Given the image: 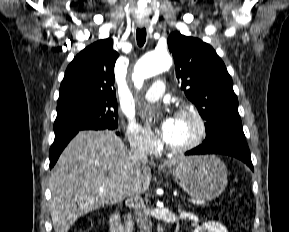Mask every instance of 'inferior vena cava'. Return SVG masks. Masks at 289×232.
Returning a JSON list of instances; mask_svg holds the SVG:
<instances>
[{
  "instance_id": "1",
  "label": "inferior vena cava",
  "mask_w": 289,
  "mask_h": 232,
  "mask_svg": "<svg viewBox=\"0 0 289 232\" xmlns=\"http://www.w3.org/2000/svg\"><path fill=\"white\" fill-rule=\"evenodd\" d=\"M130 158L131 161L135 164L148 162L147 148L145 141L143 139H139L131 143ZM130 198H131V207L135 209L137 224L140 229V232H152L151 223L146 215L145 205L141 197V194L137 193L134 196H131Z\"/></svg>"
}]
</instances>
